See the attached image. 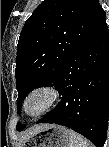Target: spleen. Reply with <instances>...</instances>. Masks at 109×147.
Here are the masks:
<instances>
[{
	"label": "spleen",
	"mask_w": 109,
	"mask_h": 147,
	"mask_svg": "<svg viewBox=\"0 0 109 147\" xmlns=\"http://www.w3.org/2000/svg\"><path fill=\"white\" fill-rule=\"evenodd\" d=\"M68 147H91L90 143L80 134L70 130Z\"/></svg>",
	"instance_id": "obj_1"
}]
</instances>
